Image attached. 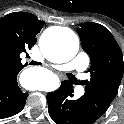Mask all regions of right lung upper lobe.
I'll return each instance as SVG.
<instances>
[{"mask_svg":"<svg viewBox=\"0 0 124 124\" xmlns=\"http://www.w3.org/2000/svg\"><path fill=\"white\" fill-rule=\"evenodd\" d=\"M45 22L27 12H14L0 19V76L18 74L25 65L20 54L36 43Z\"/></svg>","mask_w":124,"mask_h":124,"instance_id":"obj_1","label":"right lung upper lobe"}]
</instances>
